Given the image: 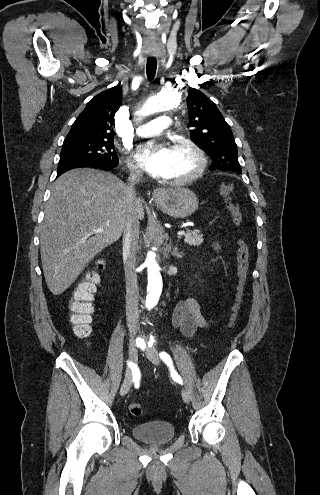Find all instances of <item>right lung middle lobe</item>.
I'll list each match as a JSON object with an SVG mask.
<instances>
[{"instance_id": "right-lung-middle-lobe-1", "label": "right lung middle lobe", "mask_w": 320, "mask_h": 495, "mask_svg": "<svg viewBox=\"0 0 320 495\" xmlns=\"http://www.w3.org/2000/svg\"><path fill=\"white\" fill-rule=\"evenodd\" d=\"M118 162L113 140H64L58 171L87 163Z\"/></svg>"}]
</instances>
